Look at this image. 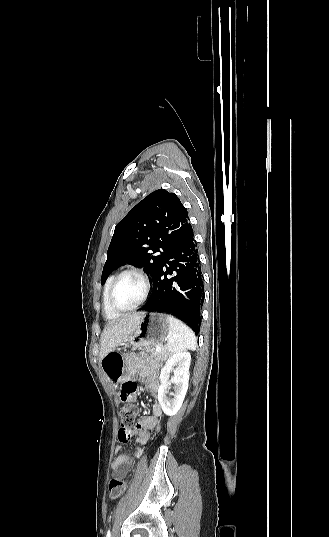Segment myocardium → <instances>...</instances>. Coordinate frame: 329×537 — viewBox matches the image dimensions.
<instances>
[{"label": "myocardium", "mask_w": 329, "mask_h": 537, "mask_svg": "<svg viewBox=\"0 0 329 537\" xmlns=\"http://www.w3.org/2000/svg\"><path fill=\"white\" fill-rule=\"evenodd\" d=\"M126 275H136L138 276L143 285H144V292H143V295L142 297L140 298V300L135 304L133 305L132 307L130 308H127V309H121L119 307H117L114 303V300H113V296H114V292H115V289L119 283V281ZM150 288H151V283H150V279L148 277V275L141 269L139 268H128V269H125L123 271H121L113 280L110 288H109V292H108V304H109V307L116 313L118 314H122V313H126V312H130L132 310H135L136 308H138L140 305H142L145 300L147 299L148 297V294L150 292Z\"/></svg>", "instance_id": "myocardium-1"}]
</instances>
